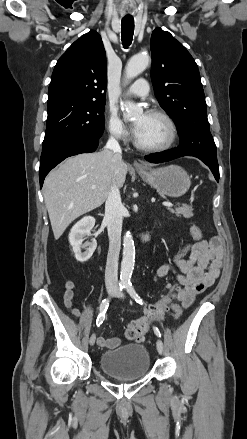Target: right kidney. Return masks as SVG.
I'll use <instances>...</instances> for the list:
<instances>
[{"label": "right kidney", "instance_id": "right-kidney-1", "mask_svg": "<svg viewBox=\"0 0 247 439\" xmlns=\"http://www.w3.org/2000/svg\"><path fill=\"white\" fill-rule=\"evenodd\" d=\"M95 225V218L92 216H86L78 221L71 229L69 234V242L73 248L75 258L79 262H86L93 255L97 242L95 239L87 241L83 244L86 237L91 236V230ZM83 249L84 251H82Z\"/></svg>", "mask_w": 247, "mask_h": 439}]
</instances>
